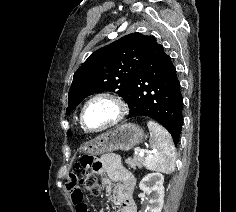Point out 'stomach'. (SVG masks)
<instances>
[{"mask_svg":"<svg viewBox=\"0 0 236 212\" xmlns=\"http://www.w3.org/2000/svg\"><path fill=\"white\" fill-rule=\"evenodd\" d=\"M144 131L137 124L126 123L113 131L105 132L92 140L83 151L89 155H101L117 150L128 151L144 140Z\"/></svg>","mask_w":236,"mask_h":212,"instance_id":"0dacf381","label":"stomach"}]
</instances>
